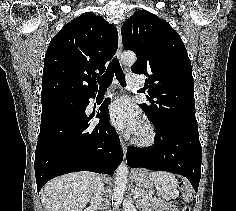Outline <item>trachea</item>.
<instances>
[{
    "instance_id": "1",
    "label": "trachea",
    "mask_w": 236,
    "mask_h": 211,
    "mask_svg": "<svg viewBox=\"0 0 236 211\" xmlns=\"http://www.w3.org/2000/svg\"><path fill=\"white\" fill-rule=\"evenodd\" d=\"M114 74H115L117 80L119 81V83L122 86H126L123 70H122L120 63L116 57L113 58V60L110 62L109 66L107 67L106 72L101 77H99L97 79V81L100 85V89H103V88L106 89L109 86V84L113 80Z\"/></svg>"
}]
</instances>
